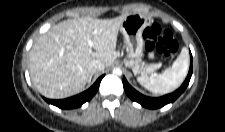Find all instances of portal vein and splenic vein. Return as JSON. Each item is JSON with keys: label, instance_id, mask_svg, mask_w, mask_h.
I'll list each match as a JSON object with an SVG mask.
<instances>
[{"label": "portal vein and splenic vein", "instance_id": "1", "mask_svg": "<svg viewBox=\"0 0 225 132\" xmlns=\"http://www.w3.org/2000/svg\"><path fill=\"white\" fill-rule=\"evenodd\" d=\"M88 45L91 47L92 46V42L88 39ZM159 68V65H154L152 67V71H154L155 69Z\"/></svg>", "mask_w": 225, "mask_h": 132}]
</instances>
